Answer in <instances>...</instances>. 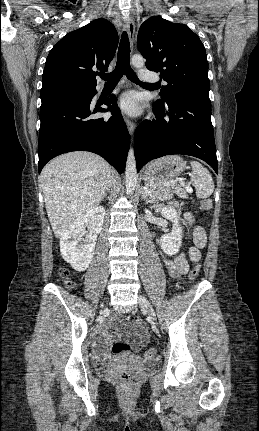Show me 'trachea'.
Instances as JSON below:
<instances>
[{"label":"trachea","instance_id":"1","mask_svg":"<svg viewBox=\"0 0 259 431\" xmlns=\"http://www.w3.org/2000/svg\"><path fill=\"white\" fill-rule=\"evenodd\" d=\"M126 77L134 83L141 85H153L141 82L130 66V43L127 33L124 31L121 36V41L118 49L117 63L115 69L109 74H101L100 77L107 84H117L121 77Z\"/></svg>","mask_w":259,"mask_h":431}]
</instances>
